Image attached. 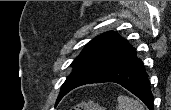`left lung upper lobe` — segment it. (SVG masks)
<instances>
[{
    "mask_svg": "<svg viewBox=\"0 0 171 110\" xmlns=\"http://www.w3.org/2000/svg\"><path fill=\"white\" fill-rule=\"evenodd\" d=\"M135 54L133 47L115 32L90 41L72 62L73 71L63 83L57 103L72 89L81 86Z\"/></svg>",
    "mask_w": 171,
    "mask_h": 110,
    "instance_id": "1",
    "label": "left lung upper lobe"
}]
</instances>
